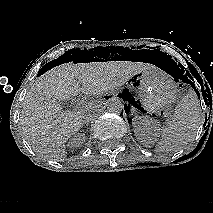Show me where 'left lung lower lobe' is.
Returning <instances> with one entry per match:
<instances>
[{
	"label": "left lung lower lobe",
	"instance_id": "left-lung-lower-lobe-1",
	"mask_svg": "<svg viewBox=\"0 0 213 213\" xmlns=\"http://www.w3.org/2000/svg\"><path fill=\"white\" fill-rule=\"evenodd\" d=\"M194 89H195V87H194ZM196 90V89H195ZM197 93V92H196ZM128 93L126 92V91H123V93L122 94H119L118 96L119 97H121L124 101H126V100H129L128 99V95H127ZM199 93H197V95H198ZM122 112H123V110H122Z\"/></svg>",
	"mask_w": 213,
	"mask_h": 213
}]
</instances>
